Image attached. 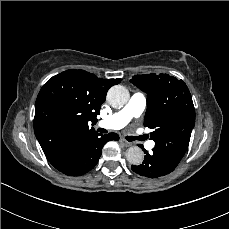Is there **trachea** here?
Wrapping results in <instances>:
<instances>
[{
  "mask_svg": "<svg viewBox=\"0 0 229 229\" xmlns=\"http://www.w3.org/2000/svg\"><path fill=\"white\" fill-rule=\"evenodd\" d=\"M97 131L100 133H107L108 132L107 130H105L103 128H98Z\"/></svg>",
  "mask_w": 229,
  "mask_h": 229,
  "instance_id": "trachea-1",
  "label": "trachea"
}]
</instances>
